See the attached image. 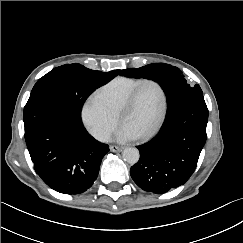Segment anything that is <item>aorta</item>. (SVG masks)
<instances>
[{
    "label": "aorta",
    "instance_id": "aorta-1",
    "mask_svg": "<svg viewBox=\"0 0 243 243\" xmlns=\"http://www.w3.org/2000/svg\"><path fill=\"white\" fill-rule=\"evenodd\" d=\"M122 157H123L124 161H126L127 163H129L131 165H134L139 161L140 153L137 148L128 147V148L124 149V151L122 153Z\"/></svg>",
    "mask_w": 243,
    "mask_h": 243
}]
</instances>
